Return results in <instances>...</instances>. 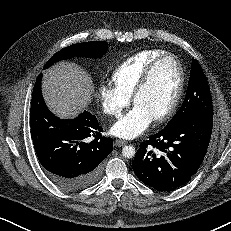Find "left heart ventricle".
<instances>
[{
	"mask_svg": "<svg viewBox=\"0 0 231 231\" xmlns=\"http://www.w3.org/2000/svg\"><path fill=\"white\" fill-rule=\"evenodd\" d=\"M178 84V66L172 59H165L155 68L151 79L135 105L140 106L155 119L170 105Z\"/></svg>",
	"mask_w": 231,
	"mask_h": 231,
	"instance_id": "obj_1",
	"label": "left heart ventricle"
}]
</instances>
